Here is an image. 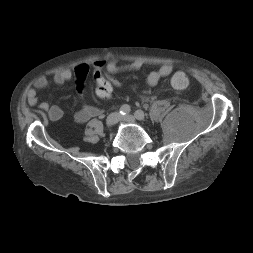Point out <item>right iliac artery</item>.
<instances>
[{
    "label": "right iliac artery",
    "instance_id": "right-iliac-artery-1",
    "mask_svg": "<svg viewBox=\"0 0 253 253\" xmlns=\"http://www.w3.org/2000/svg\"><path fill=\"white\" fill-rule=\"evenodd\" d=\"M130 111H131V108L127 104L122 105L119 109L120 115H127Z\"/></svg>",
    "mask_w": 253,
    "mask_h": 253
}]
</instances>
